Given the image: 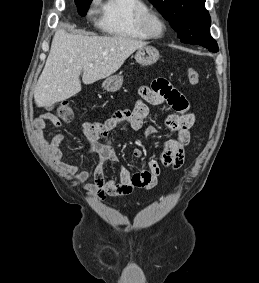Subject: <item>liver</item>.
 I'll list each match as a JSON object with an SVG mask.
<instances>
[{
	"label": "liver",
	"mask_w": 259,
	"mask_h": 283,
	"mask_svg": "<svg viewBox=\"0 0 259 283\" xmlns=\"http://www.w3.org/2000/svg\"><path fill=\"white\" fill-rule=\"evenodd\" d=\"M146 44L123 36L73 35L58 29L34 91L36 105H53L79 93L81 73L86 85L109 77Z\"/></svg>",
	"instance_id": "obj_1"
}]
</instances>
